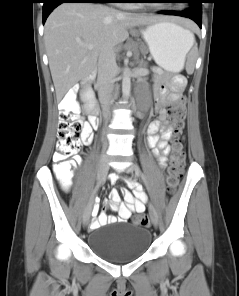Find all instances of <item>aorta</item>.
Instances as JSON below:
<instances>
[{"label": "aorta", "instance_id": "aorta-1", "mask_svg": "<svg viewBox=\"0 0 239 296\" xmlns=\"http://www.w3.org/2000/svg\"><path fill=\"white\" fill-rule=\"evenodd\" d=\"M131 90V73L128 67L124 69L122 77V94L125 99L130 95Z\"/></svg>", "mask_w": 239, "mask_h": 296}]
</instances>
